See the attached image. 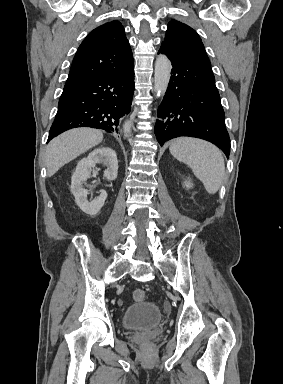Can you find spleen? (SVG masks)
<instances>
[{
  "mask_svg": "<svg viewBox=\"0 0 283 384\" xmlns=\"http://www.w3.org/2000/svg\"><path fill=\"white\" fill-rule=\"evenodd\" d=\"M169 150L176 160L190 166L208 194L218 192L225 174L224 158L219 148L196 138H177Z\"/></svg>",
  "mask_w": 283,
  "mask_h": 384,
  "instance_id": "obj_1",
  "label": "spleen"
}]
</instances>
